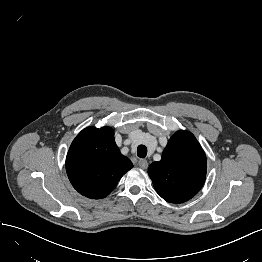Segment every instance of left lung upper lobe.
I'll use <instances>...</instances> for the list:
<instances>
[{
	"mask_svg": "<svg viewBox=\"0 0 262 262\" xmlns=\"http://www.w3.org/2000/svg\"><path fill=\"white\" fill-rule=\"evenodd\" d=\"M206 156L194 135L179 130L169 140L162 158L148 168L157 193L171 203L191 199L203 186Z\"/></svg>",
	"mask_w": 262,
	"mask_h": 262,
	"instance_id": "5c2ea615",
	"label": "left lung upper lobe"
}]
</instances>
